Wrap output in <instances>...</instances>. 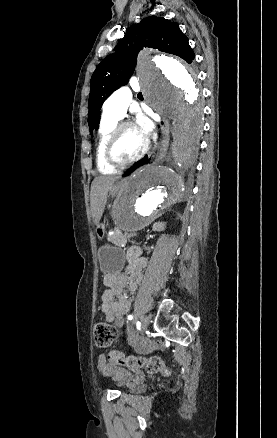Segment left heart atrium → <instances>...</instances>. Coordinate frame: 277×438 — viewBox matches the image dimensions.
<instances>
[{"label":"left heart atrium","instance_id":"left-heart-atrium-1","mask_svg":"<svg viewBox=\"0 0 277 438\" xmlns=\"http://www.w3.org/2000/svg\"><path fill=\"white\" fill-rule=\"evenodd\" d=\"M136 130L142 140L145 141L151 131V124L145 117L140 116L136 123Z\"/></svg>","mask_w":277,"mask_h":438}]
</instances>
